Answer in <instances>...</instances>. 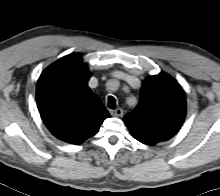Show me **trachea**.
Wrapping results in <instances>:
<instances>
[{
  "instance_id": "trachea-1",
  "label": "trachea",
  "mask_w": 220,
  "mask_h": 196,
  "mask_svg": "<svg viewBox=\"0 0 220 196\" xmlns=\"http://www.w3.org/2000/svg\"><path fill=\"white\" fill-rule=\"evenodd\" d=\"M107 106L110 108V109H115L116 107V100L113 96H109L108 97V104Z\"/></svg>"
}]
</instances>
